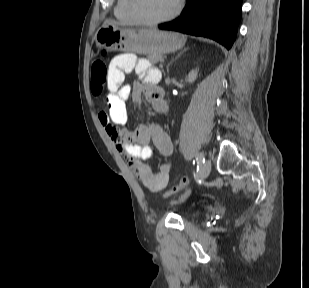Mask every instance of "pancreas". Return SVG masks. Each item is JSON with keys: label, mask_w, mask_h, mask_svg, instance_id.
Wrapping results in <instances>:
<instances>
[{"label": "pancreas", "mask_w": 309, "mask_h": 288, "mask_svg": "<svg viewBox=\"0 0 309 288\" xmlns=\"http://www.w3.org/2000/svg\"><path fill=\"white\" fill-rule=\"evenodd\" d=\"M148 59L150 60V62H151L152 64H156V63H158L159 61H160V62L163 61V57H162L161 55H159V56H150V57H148Z\"/></svg>", "instance_id": "1"}]
</instances>
